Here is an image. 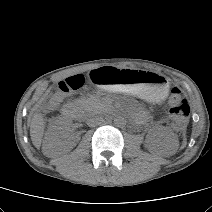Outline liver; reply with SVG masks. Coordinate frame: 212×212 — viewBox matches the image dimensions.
<instances>
[{
	"label": "liver",
	"mask_w": 212,
	"mask_h": 212,
	"mask_svg": "<svg viewBox=\"0 0 212 212\" xmlns=\"http://www.w3.org/2000/svg\"><path fill=\"white\" fill-rule=\"evenodd\" d=\"M45 129V121L40 113L33 115L30 124V136L33 145L39 149Z\"/></svg>",
	"instance_id": "6515ba94"
}]
</instances>
